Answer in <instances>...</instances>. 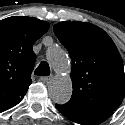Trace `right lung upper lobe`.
Returning <instances> with one entry per match:
<instances>
[{"label":"right lung upper lobe","mask_w":125,"mask_h":125,"mask_svg":"<svg viewBox=\"0 0 125 125\" xmlns=\"http://www.w3.org/2000/svg\"><path fill=\"white\" fill-rule=\"evenodd\" d=\"M49 29L46 21L13 16L0 21V112L16 104L32 83L33 44Z\"/></svg>","instance_id":"right-lung-upper-lobe-1"}]
</instances>
